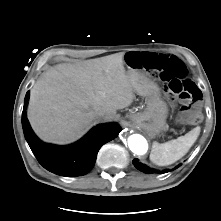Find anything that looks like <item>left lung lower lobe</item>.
<instances>
[{
    "label": "left lung lower lobe",
    "instance_id": "1",
    "mask_svg": "<svg viewBox=\"0 0 221 221\" xmlns=\"http://www.w3.org/2000/svg\"><path fill=\"white\" fill-rule=\"evenodd\" d=\"M133 164H134V166H135L138 170H140V171H142V172H144V173L156 172L155 170H153V169L147 167L146 165L140 163L138 159H134V160H133ZM177 167H178V166H177ZM177 167H176V168H177ZM169 171H170V170L168 169V170L163 171L162 173H166V172H169Z\"/></svg>",
    "mask_w": 221,
    "mask_h": 221
}]
</instances>
